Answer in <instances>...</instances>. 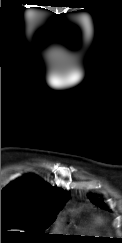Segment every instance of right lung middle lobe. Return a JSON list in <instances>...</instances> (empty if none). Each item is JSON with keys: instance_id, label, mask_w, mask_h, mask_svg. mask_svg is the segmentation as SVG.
<instances>
[{"instance_id": "1", "label": "right lung middle lobe", "mask_w": 122, "mask_h": 243, "mask_svg": "<svg viewBox=\"0 0 122 243\" xmlns=\"http://www.w3.org/2000/svg\"><path fill=\"white\" fill-rule=\"evenodd\" d=\"M61 208L40 207L17 199H1V234L10 228H20L34 238H48L49 234L44 231L53 223Z\"/></svg>"}]
</instances>
